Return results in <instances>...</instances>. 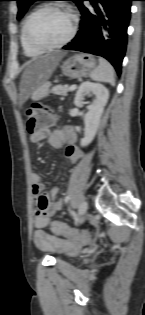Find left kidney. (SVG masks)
Instances as JSON below:
<instances>
[{"label": "left kidney", "mask_w": 145, "mask_h": 315, "mask_svg": "<svg viewBox=\"0 0 145 315\" xmlns=\"http://www.w3.org/2000/svg\"><path fill=\"white\" fill-rule=\"evenodd\" d=\"M85 94H91L94 96V100L87 107L88 112L84 117V138L81 140V146L89 145L97 132L100 124V119L104 111V107L107 104L109 98V92L107 88L99 83H91L89 81L83 82L76 93L74 104L77 107L83 106V98Z\"/></svg>", "instance_id": "left-kidney-1"}]
</instances>
